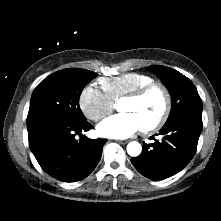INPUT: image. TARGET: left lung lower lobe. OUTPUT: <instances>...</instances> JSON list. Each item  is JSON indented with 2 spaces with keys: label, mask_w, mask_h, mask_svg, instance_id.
Wrapping results in <instances>:
<instances>
[{
  "label": "left lung lower lobe",
  "mask_w": 221,
  "mask_h": 221,
  "mask_svg": "<svg viewBox=\"0 0 221 221\" xmlns=\"http://www.w3.org/2000/svg\"><path fill=\"white\" fill-rule=\"evenodd\" d=\"M202 128V115L184 114L174 118L157 134L162 135L161 141L143 143L141 155L131 159L133 166L151 180L173 176L195 155Z\"/></svg>",
  "instance_id": "left-lung-lower-lobe-1"
}]
</instances>
